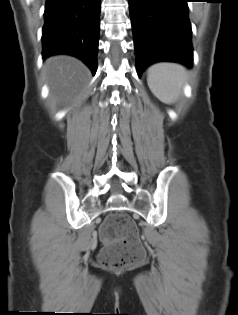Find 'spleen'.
I'll list each match as a JSON object with an SVG mask.
<instances>
[{
  "mask_svg": "<svg viewBox=\"0 0 238 315\" xmlns=\"http://www.w3.org/2000/svg\"><path fill=\"white\" fill-rule=\"evenodd\" d=\"M186 82L187 71L177 63H156L148 69V86L165 103L176 102L183 94Z\"/></svg>",
  "mask_w": 238,
  "mask_h": 315,
  "instance_id": "1",
  "label": "spleen"
}]
</instances>
